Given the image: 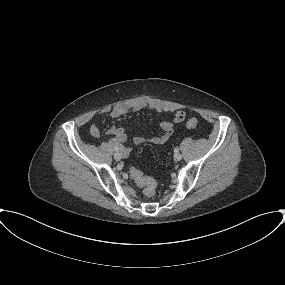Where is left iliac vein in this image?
Masks as SVG:
<instances>
[{
    "label": "left iliac vein",
    "mask_w": 285,
    "mask_h": 285,
    "mask_svg": "<svg viewBox=\"0 0 285 285\" xmlns=\"http://www.w3.org/2000/svg\"><path fill=\"white\" fill-rule=\"evenodd\" d=\"M174 159H175V161H180L182 159V155L177 152L174 154Z\"/></svg>",
    "instance_id": "4c4485c4"
}]
</instances>
